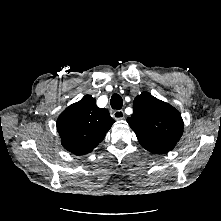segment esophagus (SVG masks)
Returning a JSON list of instances; mask_svg holds the SVG:
<instances>
[{
	"mask_svg": "<svg viewBox=\"0 0 221 221\" xmlns=\"http://www.w3.org/2000/svg\"><path fill=\"white\" fill-rule=\"evenodd\" d=\"M115 120H123L125 118V113L123 110H115L112 114Z\"/></svg>",
	"mask_w": 221,
	"mask_h": 221,
	"instance_id": "obj_1",
	"label": "esophagus"
}]
</instances>
